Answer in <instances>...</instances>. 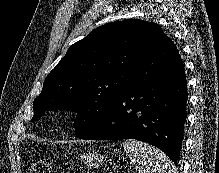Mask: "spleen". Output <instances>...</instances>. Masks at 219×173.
Segmentation results:
<instances>
[{
  "label": "spleen",
  "mask_w": 219,
  "mask_h": 173,
  "mask_svg": "<svg viewBox=\"0 0 219 173\" xmlns=\"http://www.w3.org/2000/svg\"><path fill=\"white\" fill-rule=\"evenodd\" d=\"M123 147L138 173H175L174 164L157 148L133 139L125 140Z\"/></svg>",
  "instance_id": "1"
}]
</instances>
